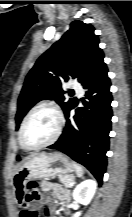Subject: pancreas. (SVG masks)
Instances as JSON below:
<instances>
[{
  "mask_svg": "<svg viewBox=\"0 0 132 217\" xmlns=\"http://www.w3.org/2000/svg\"><path fill=\"white\" fill-rule=\"evenodd\" d=\"M60 182L66 187H70V183L75 182V177L73 175H59Z\"/></svg>",
  "mask_w": 132,
  "mask_h": 217,
  "instance_id": "cf45deb5",
  "label": "pancreas"
}]
</instances>
